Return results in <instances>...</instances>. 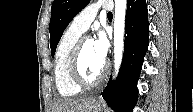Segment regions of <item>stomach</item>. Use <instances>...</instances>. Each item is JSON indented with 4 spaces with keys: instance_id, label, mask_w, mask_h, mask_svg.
<instances>
[{
    "instance_id": "stomach-1",
    "label": "stomach",
    "mask_w": 193,
    "mask_h": 112,
    "mask_svg": "<svg viewBox=\"0 0 193 112\" xmlns=\"http://www.w3.org/2000/svg\"><path fill=\"white\" fill-rule=\"evenodd\" d=\"M91 112H102V104L99 101H94Z\"/></svg>"
}]
</instances>
